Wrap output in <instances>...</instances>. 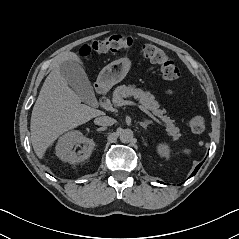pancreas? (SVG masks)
<instances>
[{"mask_svg": "<svg viewBox=\"0 0 239 239\" xmlns=\"http://www.w3.org/2000/svg\"><path fill=\"white\" fill-rule=\"evenodd\" d=\"M131 96L137 99L144 108L151 111L153 115L159 117L164 122L166 131L173 140H177L181 136L180 129L174 125V120H171L169 117L164 115L166 111L159 109V103L150 92L144 91L141 88H136L135 85H121L114 90L112 101L115 106H117L116 101Z\"/></svg>", "mask_w": 239, "mask_h": 239, "instance_id": "obj_1", "label": "pancreas"}]
</instances>
